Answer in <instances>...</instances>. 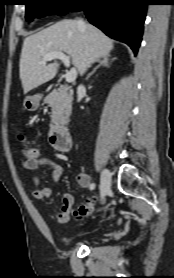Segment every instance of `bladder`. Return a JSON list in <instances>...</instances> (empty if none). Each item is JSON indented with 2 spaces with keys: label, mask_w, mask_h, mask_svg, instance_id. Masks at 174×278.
Listing matches in <instances>:
<instances>
[{
  "label": "bladder",
  "mask_w": 174,
  "mask_h": 278,
  "mask_svg": "<svg viewBox=\"0 0 174 278\" xmlns=\"http://www.w3.org/2000/svg\"><path fill=\"white\" fill-rule=\"evenodd\" d=\"M62 240L65 244H71L73 242V239L69 237H63Z\"/></svg>",
  "instance_id": "31cf9c89"
}]
</instances>
